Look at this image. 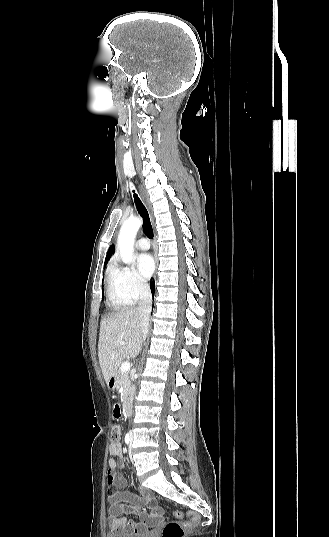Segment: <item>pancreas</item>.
I'll return each mask as SVG.
<instances>
[{"label": "pancreas", "mask_w": 329, "mask_h": 537, "mask_svg": "<svg viewBox=\"0 0 329 537\" xmlns=\"http://www.w3.org/2000/svg\"><path fill=\"white\" fill-rule=\"evenodd\" d=\"M116 387L123 388L122 395H123L124 400L126 401L129 398L130 393L133 390V386L131 385L128 372L127 371L123 372L121 368L118 369L117 374H116Z\"/></svg>", "instance_id": "obj_1"}]
</instances>
